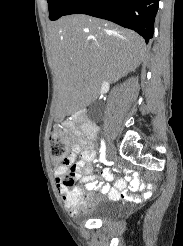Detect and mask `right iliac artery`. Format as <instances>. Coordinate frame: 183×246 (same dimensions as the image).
Here are the masks:
<instances>
[{
  "label": "right iliac artery",
  "mask_w": 183,
  "mask_h": 246,
  "mask_svg": "<svg viewBox=\"0 0 183 246\" xmlns=\"http://www.w3.org/2000/svg\"><path fill=\"white\" fill-rule=\"evenodd\" d=\"M105 142L101 140V148H100V162L105 161Z\"/></svg>",
  "instance_id": "right-iliac-artery-1"
}]
</instances>
